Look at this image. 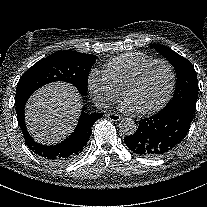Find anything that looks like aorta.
Returning a JSON list of instances; mask_svg holds the SVG:
<instances>
[{
    "mask_svg": "<svg viewBox=\"0 0 207 207\" xmlns=\"http://www.w3.org/2000/svg\"><path fill=\"white\" fill-rule=\"evenodd\" d=\"M119 129L124 135L130 136L136 132L137 125L132 118H124L119 123Z\"/></svg>",
    "mask_w": 207,
    "mask_h": 207,
    "instance_id": "762f6f07",
    "label": "aorta"
}]
</instances>
